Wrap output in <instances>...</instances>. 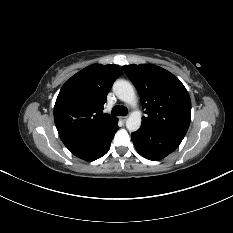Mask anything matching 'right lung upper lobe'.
I'll use <instances>...</instances> for the list:
<instances>
[{
	"mask_svg": "<svg viewBox=\"0 0 233 233\" xmlns=\"http://www.w3.org/2000/svg\"><path fill=\"white\" fill-rule=\"evenodd\" d=\"M121 73L114 64H93L66 81L54 106V121L63 143L85 137L117 120L102 110Z\"/></svg>",
	"mask_w": 233,
	"mask_h": 233,
	"instance_id": "cb5924a9",
	"label": "right lung upper lobe"
}]
</instances>
